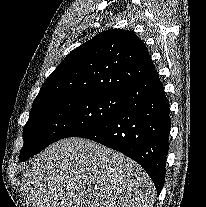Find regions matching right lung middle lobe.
Returning <instances> with one entry per match:
<instances>
[{
	"label": "right lung middle lobe",
	"mask_w": 206,
	"mask_h": 207,
	"mask_svg": "<svg viewBox=\"0 0 206 207\" xmlns=\"http://www.w3.org/2000/svg\"><path fill=\"white\" fill-rule=\"evenodd\" d=\"M124 94H88L52 98L36 104L24 127L20 160L39 153L51 143L77 136L114 115Z\"/></svg>",
	"instance_id": "1"
}]
</instances>
